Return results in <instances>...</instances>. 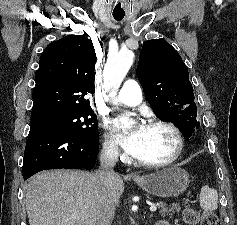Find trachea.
<instances>
[{"mask_svg":"<svg viewBox=\"0 0 237 225\" xmlns=\"http://www.w3.org/2000/svg\"><path fill=\"white\" fill-rule=\"evenodd\" d=\"M116 20H121L122 18L114 16Z\"/></svg>","mask_w":237,"mask_h":225,"instance_id":"1","label":"trachea"}]
</instances>
